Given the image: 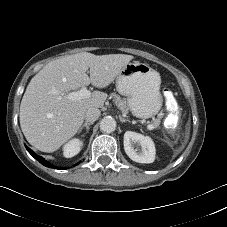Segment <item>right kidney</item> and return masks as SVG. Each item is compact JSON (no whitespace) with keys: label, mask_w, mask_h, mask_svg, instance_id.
I'll return each mask as SVG.
<instances>
[{"label":"right kidney","mask_w":227,"mask_h":227,"mask_svg":"<svg viewBox=\"0 0 227 227\" xmlns=\"http://www.w3.org/2000/svg\"><path fill=\"white\" fill-rule=\"evenodd\" d=\"M83 146V142L79 139H72L67 142L63 147V155L66 158H71L77 155Z\"/></svg>","instance_id":"obj_1"}]
</instances>
